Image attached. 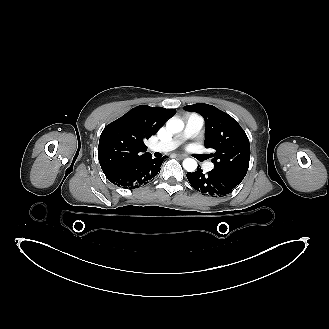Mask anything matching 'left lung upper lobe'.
<instances>
[{"instance_id":"obj_1","label":"left lung upper lobe","mask_w":329,"mask_h":329,"mask_svg":"<svg viewBox=\"0 0 329 329\" xmlns=\"http://www.w3.org/2000/svg\"><path fill=\"white\" fill-rule=\"evenodd\" d=\"M185 110L197 112L205 119V147L215 150L214 171L237 181L244 179L250 160L249 139L238 122L227 113L204 103L187 105Z\"/></svg>"}]
</instances>
